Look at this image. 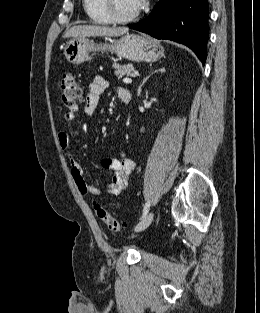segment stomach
Returning a JSON list of instances; mask_svg holds the SVG:
<instances>
[{
  "instance_id": "obj_1",
  "label": "stomach",
  "mask_w": 260,
  "mask_h": 313,
  "mask_svg": "<svg viewBox=\"0 0 260 313\" xmlns=\"http://www.w3.org/2000/svg\"><path fill=\"white\" fill-rule=\"evenodd\" d=\"M111 51L119 57L135 62H155L164 55L163 47L151 37L138 34H127L110 44H95L87 37H74L64 47V55L68 62L80 64L90 59V52Z\"/></svg>"
}]
</instances>
